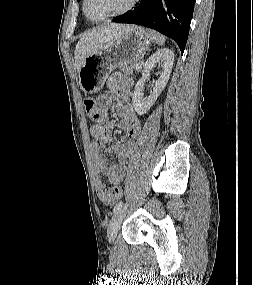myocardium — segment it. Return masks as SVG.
Masks as SVG:
<instances>
[{
  "mask_svg": "<svg viewBox=\"0 0 253 285\" xmlns=\"http://www.w3.org/2000/svg\"><path fill=\"white\" fill-rule=\"evenodd\" d=\"M137 2H138V0H130L128 5L124 9H122L121 11H118L116 13L107 15V16L102 17V18H97V19H93V18L88 16L87 11H86L87 0H83L82 10H83L85 17L89 21L98 23V22H104V21H107V20H110V19H113V18H116L118 16H121V15L128 13L129 11H131L136 6Z\"/></svg>",
  "mask_w": 253,
  "mask_h": 285,
  "instance_id": "1",
  "label": "myocardium"
}]
</instances>
